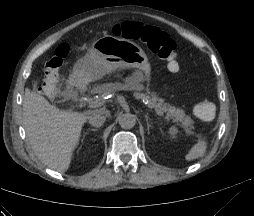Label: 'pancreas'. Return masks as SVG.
Segmentation results:
<instances>
[{
    "label": "pancreas",
    "mask_w": 254,
    "mask_h": 216,
    "mask_svg": "<svg viewBox=\"0 0 254 216\" xmlns=\"http://www.w3.org/2000/svg\"><path fill=\"white\" fill-rule=\"evenodd\" d=\"M120 87L128 88L134 92V95L137 99L148 100V106L154 108L166 114L167 117L173 118L175 122L181 123L187 135L191 134V130L194 129V121L185 114L184 110L175 108L174 106L163 103V99L158 98L154 94H144L141 91L143 86L139 83L126 82L125 85L121 84H106L100 89L102 92L114 91Z\"/></svg>",
    "instance_id": "cf45deb5"
}]
</instances>
